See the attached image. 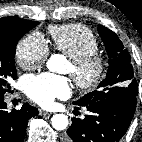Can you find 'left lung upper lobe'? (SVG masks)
<instances>
[{
  "instance_id": "obj_1",
  "label": "left lung upper lobe",
  "mask_w": 142,
  "mask_h": 142,
  "mask_svg": "<svg viewBox=\"0 0 142 142\" xmlns=\"http://www.w3.org/2000/svg\"><path fill=\"white\" fill-rule=\"evenodd\" d=\"M98 32L105 44L109 57L106 78L98 88L86 94L73 104L86 106L90 103L125 94H138L137 81L134 77L131 57L118 36L108 28L100 26Z\"/></svg>"
}]
</instances>
